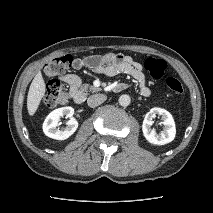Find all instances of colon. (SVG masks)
<instances>
[{"mask_svg": "<svg viewBox=\"0 0 213 213\" xmlns=\"http://www.w3.org/2000/svg\"><path fill=\"white\" fill-rule=\"evenodd\" d=\"M73 62L70 55L53 58L48 61L44 67V74L49 78H54L65 72ZM144 67L155 79L163 77L166 70V62L161 59L148 58L144 62ZM165 84L169 90L176 95L183 93V86L181 82L175 77H167ZM68 102V92L65 87L57 79H51L46 86V93L43 99L45 106L49 108L63 106Z\"/></svg>", "mask_w": 213, "mask_h": 213, "instance_id": "colon-1", "label": "colon"}]
</instances>
